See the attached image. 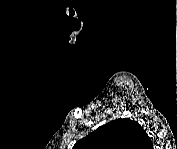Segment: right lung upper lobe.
Segmentation results:
<instances>
[{"label": "right lung upper lobe", "instance_id": "obj_1", "mask_svg": "<svg viewBox=\"0 0 177 149\" xmlns=\"http://www.w3.org/2000/svg\"><path fill=\"white\" fill-rule=\"evenodd\" d=\"M146 131L138 122L130 119H116L76 142L73 149H144Z\"/></svg>", "mask_w": 177, "mask_h": 149}]
</instances>
